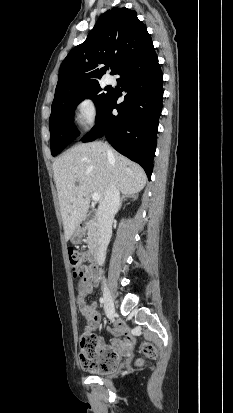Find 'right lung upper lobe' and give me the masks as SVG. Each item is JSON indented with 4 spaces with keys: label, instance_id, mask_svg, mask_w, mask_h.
<instances>
[{
    "label": "right lung upper lobe",
    "instance_id": "cb5924a9",
    "mask_svg": "<svg viewBox=\"0 0 233 413\" xmlns=\"http://www.w3.org/2000/svg\"><path fill=\"white\" fill-rule=\"evenodd\" d=\"M150 43L146 26L135 11L125 7L106 11L87 39L62 62L53 103L99 83L106 73L102 64L110 66L111 74H115L126 60Z\"/></svg>",
    "mask_w": 233,
    "mask_h": 413
}]
</instances>
